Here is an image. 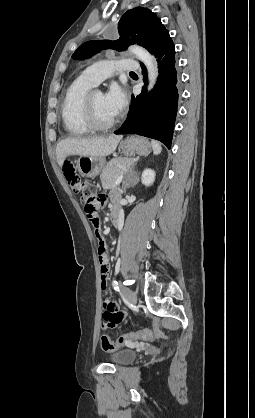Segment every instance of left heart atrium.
Segmentation results:
<instances>
[{
  "label": "left heart atrium",
  "mask_w": 255,
  "mask_h": 418,
  "mask_svg": "<svg viewBox=\"0 0 255 418\" xmlns=\"http://www.w3.org/2000/svg\"><path fill=\"white\" fill-rule=\"evenodd\" d=\"M104 102L108 111L115 117L126 107L127 95L118 85H112L104 95Z\"/></svg>",
  "instance_id": "obj_1"
}]
</instances>
